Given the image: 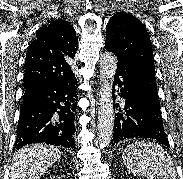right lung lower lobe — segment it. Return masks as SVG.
Masks as SVG:
<instances>
[{
  "label": "right lung lower lobe",
  "instance_id": "1",
  "mask_svg": "<svg viewBox=\"0 0 183 179\" xmlns=\"http://www.w3.org/2000/svg\"><path fill=\"white\" fill-rule=\"evenodd\" d=\"M76 85L75 78L69 82L40 81L25 88L14 150L42 142L75 149Z\"/></svg>",
  "mask_w": 183,
  "mask_h": 179
}]
</instances>
